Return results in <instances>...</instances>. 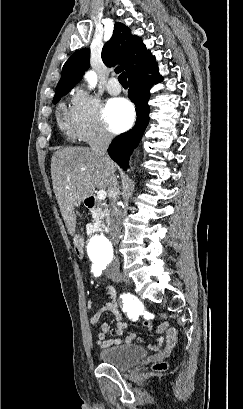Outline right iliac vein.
Here are the masks:
<instances>
[{
	"instance_id": "1",
	"label": "right iliac vein",
	"mask_w": 243,
	"mask_h": 409,
	"mask_svg": "<svg viewBox=\"0 0 243 409\" xmlns=\"http://www.w3.org/2000/svg\"><path fill=\"white\" fill-rule=\"evenodd\" d=\"M115 276L120 278L121 280H124L127 283H130V280L127 277L123 276L122 274H116Z\"/></svg>"
}]
</instances>
